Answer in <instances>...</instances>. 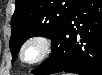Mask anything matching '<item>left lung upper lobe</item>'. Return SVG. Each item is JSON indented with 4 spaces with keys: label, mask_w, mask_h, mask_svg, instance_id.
Masks as SVG:
<instances>
[{
    "label": "left lung upper lobe",
    "mask_w": 102,
    "mask_h": 75,
    "mask_svg": "<svg viewBox=\"0 0 102 75\" xmlns=\"http://www.w3.org/2000/svg\"><path fill=\"white\" fill-rule=\"evenodd\" d=\"M81 0H16L11 19L10 49L12 61L20 46L30 37L52 39L59 26L73 12Z\"/></svg>",
    "instance_id": "5c2ea615"
}]
</instances>
